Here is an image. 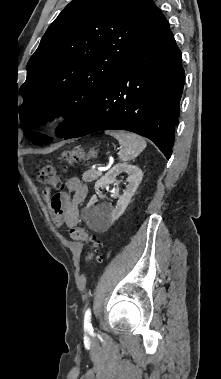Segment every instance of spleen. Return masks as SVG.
I'll return each mask as SVG.
<instances>
[{"instance_id":"spleen-1","label":"spleen","mask_w":221,"mask_h":379,"mask_svg":"<svg viewBox=\"0 0 221 379\" xmlns=\"http://www.w3.org/2000/svg\"><path fill=\"white\" fill-rule=\"evenodd\" d=\"M110 135L114 136L121 146L119 159L122 162L133 160L146 147L145 140L137 134L124 131H115L110 132Z\"/></svg>"}]
</instances>
